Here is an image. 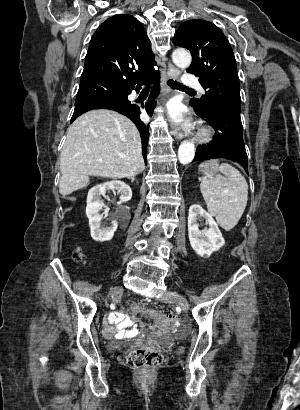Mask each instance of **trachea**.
<instances>
[{
    "mask_svg": "<svg viewBox=\"0 0 300 410\" xmlns=\"http://www.w3.org/2000/svg\"><path fill=\"white\" fill-rule=\"evenodd\" d=\"M167 84H168L171 88H174V89L194 92L193 89L188 88V87L182 85L181 83H179V82H177V81H174V80H171V79L167 81ZM149 89H150V86H147V87H145L143 90H144V91H149Z\"/></svg>",
    "mask_w": 300,
    "mask_h": 410,
    "instance_id": "1",
    "label": "trachea"
}]
</instances>
